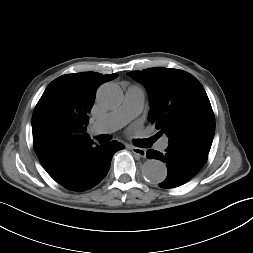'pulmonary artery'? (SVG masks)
<instances>
[{
    "instance_id": "pulmonary-artery-1",
    "label": "pulmonary artery",
    "mask_w": 253,
    "mask_h": 253,
    "mask_svg": "<svg viewBox=\"0 0 253 253\" xmlns=\"http://www.w3.org/2000/svg\"><path fill=\"white\" fill-rule=\"evenodd\" d=\"M144 102V92L138 86H130L126 92L122 105L109 112L103 118L92 124L90 130L94 134L111 133L129 121L138 116L142 110ZM168 147V138L163 137L157 145L160 151L166 150Z\"/></svg>"
}]
</instances>
